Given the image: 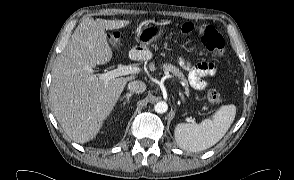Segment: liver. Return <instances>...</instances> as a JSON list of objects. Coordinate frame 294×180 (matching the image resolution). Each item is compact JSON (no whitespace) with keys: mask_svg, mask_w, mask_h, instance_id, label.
Returning a JSON list of instances; mask_svg holds the SVG:
<instances>
[{"mask_svg":"<svg viewBox=\"0 0 294 180\" xmlns=\"http://www.w3.org/2000/svg\"><path fill=\"white\" fill-rule=\"evenodd\" d=\"M129 20L84 18L66 48L56 58L50 100L58 121L77 143L92 140L134 75L114 78L107 84L93 72L112 58L105 30L120 29Z\"/></svg>","mask_w":294,"mask_h":180,"instance_id":"1","label":"liver"}]
</instances>
